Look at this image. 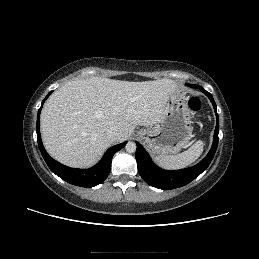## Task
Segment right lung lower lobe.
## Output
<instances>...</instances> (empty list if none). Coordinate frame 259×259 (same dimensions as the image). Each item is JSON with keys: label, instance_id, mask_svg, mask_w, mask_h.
Segmentation results:
<instances>
[{"label": "right lung lower lobe", "instance_id": "98d812e1", "mask_svg": "<svg viewBox=\"0 0 259 259\" xmlns=\"http://www.w3.org/2000/svg\"><path fill=\"white\" fill-rule=\"evenodd\" d=\"M53 91L49 92L46 98L42 101L41 107L38 110L37 124H36V132H37V140L38 146L41 151V154L47 163L50 170L59 176L64 181L81 187H94L100 183H102L106 177L108 176L111 169V161L113 155L121 150L127 142H123L121 144L110 147L102 159L93 167L89 169H74L67 166L62 165L61 163L55 161L50 155L46 152L43 147L41 135H40V112L43 107V103L49 97V95Z\"/></svg>", "mask_w": 259, "mask_h": 259}]
</instances>
